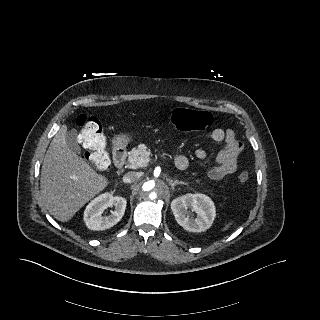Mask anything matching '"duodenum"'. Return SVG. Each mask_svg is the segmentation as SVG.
<instances>
[{
    "label": "duodenum",
    "instance_id": "1",
    "mask_svg": "<svg viewBox=\"0 0 320 320\" xmlns=\"http://www.w3.org/2000/svg\"><path fill=\"white\" fill-rule=\"evenodd\" d=\"M126 149L123 145H117L113 151V161L117 168L121 169L126 161Z\"/></svg>",
    "mask_w": 320,
    "mask_h": 320
}]
</instances>
